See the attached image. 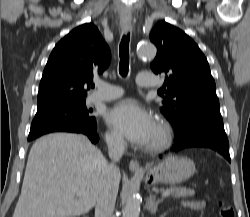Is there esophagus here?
<instances>
[{
  "label": "esophagus",
  "instance_id": "obj_1",
  "mask_svg": "<svg viewBox=\"0 0 250 217\" xmlns=\"http://www.w3.org/2000/svg\"><path fill=\"white\" fill-rule=\"evenodd\" d=\"M120 26L123 32H127L131 28V19L130 18H122L120 22ZM129 169L133 172H142L143 169L140 166L139 162L135 159L129 162Z\"/></svg>",
  "mask_w": 250,
  "mask_h": 217
}]
</instances>
